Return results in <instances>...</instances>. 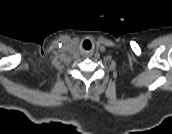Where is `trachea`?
<instances>
[{"instance_id": "3493384b", "label": "trachea", "mask_w": 172, "mask_h": 134, "mask_svg": "<svg viewBox=\"0 0 172 134\" xmlns=\"http://www.w3.org/2000/svg\"><path fill=\"white\" fill-rule=\"evenodd\" d=\"M85 42H88V41H85ZM85 42H84V43H85ZM84 43H83V44H84ZM89 44H90V46H91V42H89Z\"/></svg>"}]
</instances>
